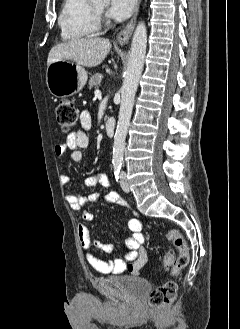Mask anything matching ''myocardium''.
Instances as JSON below:
<instances>
[{"mask_svg":"<svg viewBox=\"0 0 240 329\" xmlns=\"http://www.w3.org/2000/svg\"><path fill=\"white\" fill-rule=\"evenodd\" d=\"M93 10H94V13H95L96 17L98 18V21H99V18L101 17L102 12L100 10H98L97 8H95V7H93Z\"/></svg>","mask_w":240,"mask_h":329,"instance_id":"1","label":"myocardium"}]
</instances>
